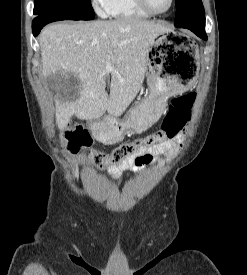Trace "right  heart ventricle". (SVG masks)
<instances>
[{"mask_svg":"<svg viewBox=\"0 0 247 275\" xmlns=\"http://www.w3.org/2000/svg\"><path fill=\"white\" fill-rule=\"evenodd\" d=\"M108 15L122 20L150 17V14L139 6L137 0H110Z\"/></svg>","mask_w":247,"mask_h":275,"instance_id":"obj_1","label":"right heart ventricle"}]
</instances>
